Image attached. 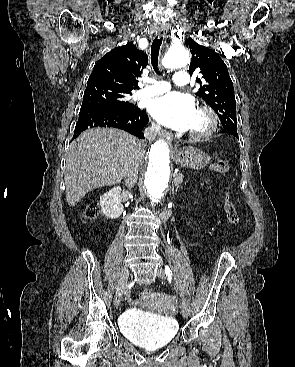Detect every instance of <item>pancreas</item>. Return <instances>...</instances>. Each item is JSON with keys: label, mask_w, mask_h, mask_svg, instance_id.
<instances>
[{"label": "pancreas", "mask_w": 295, "mask_h": 367, "mask_svg": "<svg viewBox=\"0 0 295 367\" xmlns=\"http://www.w3.org/2000/svg\"><path fill=\"white\" fill-rule=\"evenodd\" d=\"M183 178H184V176L182 174H180V173L175 174L173 184L176 185V186L181 184L183 182Z\"/></svg>", "instance_id": "cf45deb5"}]
</instances>
